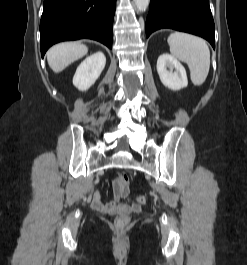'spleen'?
<instances>
[{
    "instance_id": "spleen-1",
    "label": "spleen",
    "mask_w": 247,
    "mask_h": 265,
    "mask_svg": "<svg viewBox=\"0 0 247 265\" xmlns=\"http://www.w3.org/2000/svg\"><path fill=\"white\" fill-rule=\"evenodd\" d=\"M170 52L173 56L187 63L191 81L202 85L209 73L210 51L205 40L182 32L172 33L168 37Z\"/></svg>"
}]
</instances>
